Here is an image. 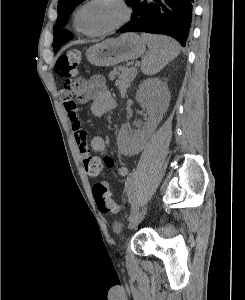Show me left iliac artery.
I'll return each mask as SVG.
<instances>
[{"label":"left iliac artery","instance_id":"obj_1","mask_svg":"<svg viewBox=\"0 0 245 300\" xmlns=\"http://www.w3.org/2000/svg\"><path fill=\"white\" fill-rule=\"evenodd\" d=\"M135 174H131L128 179H127V183H126V195H127V199L130 201V203L132 204V210H131V214L129 216V219L131 220L139 211V206L137 204V198L134 195L133 192V184L135 182Z\"/></svg>","mask_w":245,"mask_h":300}]
</instances>
